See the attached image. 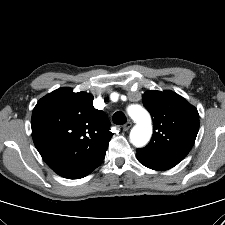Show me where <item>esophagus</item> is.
I'll list each match as a JSON object with an SVG mask.
<instances>
[{
	"label": "esophagus",
	"mask_w": 225,
	"mask_h": 225,
	"mask_svg": "<svg viewBox=\"0 0 225 225\" xmlns=\"http://www.w3.org/2000/svg\"><path fill=\"white\" fill-rule=\"evenodd\" d=\"M132 126L131 122H127L126 124L123 125V130L128 131Z\"/></svg>",
	"instance_id": "obj_1"
}]
</instances>
